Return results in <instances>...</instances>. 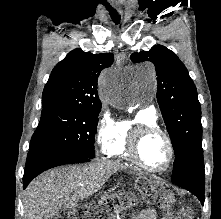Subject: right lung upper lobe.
Returning <instances> with one entry per match:
<instances>
[{"mask_svg": "<svg viewBox=\"0 0 221 219\" xmlns=\"http://www.w3.org/2000/svg\"><path fill=\"white\" fill-rule=\"evenodd\" d=\"M111 53L92 54L75 49L53 69L42 94V105L101 107L97 79L113 63Z\"/></svg>", "mask_w": 221, "mask_h": 219, "instance_id": "obj_1", "label": "right lung upper lobe"}]
</instances>
